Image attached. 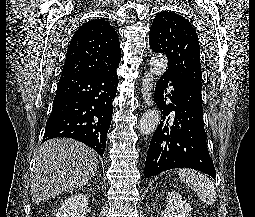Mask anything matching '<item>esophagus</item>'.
<instances>
[{"label":"esophagus","instance_id":"esophagus-1","mask_svg":"<svg viewBox=\"0 0 255 217\" xmlns=\"http://www.w3.org/2000/svg\"><path fill=\"white\" fill-rule=\"evenodd\" d=\"M152 89H153V76L150 72H145L144 77L142 79L141 95L144 100V103L147 106H151L153 104Z\"/></svg>","mask_w":255,"mask_h":217}]
</instances>
